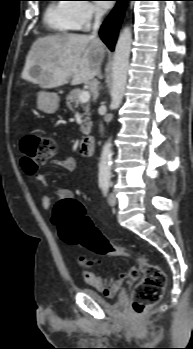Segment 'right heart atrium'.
<instances>
[{"mask_svg":"<svg viewBox=\"0 0 193 349\" xmlns=\"http://www.w3.org/2000/svg\"><path fill=\"white\" fill-rule=\"evenodd\" d=\"M71 11L78 28L88 27L101 15V12L87 0H74L71 4Z\"/></svg>","mask_w":193,"mask_h":349,"instance_id":"1","label":"right heart atrium"}]
</instances>
